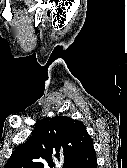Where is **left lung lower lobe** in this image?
<instances>
[{
	"label": "left lung lower lobe",
	"instance_id": "0a47b994",
	"mask_svg": "<svg viewBox=\"0 0 127 168\" xmlns=\"http://www.w3.org/2000/svg\"><path fill=\"white\" fill-rule=\"evenodd\" d=\"M97 159L93 147V141L88 137L78 152L76 162L73 168H96Z\"/></svg>",
	"mask_w": 127,
	"mask_h": 168
}]
</instances>
